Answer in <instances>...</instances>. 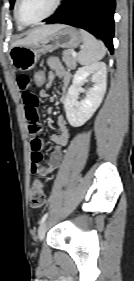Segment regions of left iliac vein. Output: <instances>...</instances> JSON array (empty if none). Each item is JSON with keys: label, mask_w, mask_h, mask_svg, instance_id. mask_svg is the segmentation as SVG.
Wrapping results in <instances>:
<instances>
[{"label": "left iliac vein", "mask_w": 134, "mask_h": 281, "mask_svg": "<svg viewBox=\"0 0 134 281\" xmlns=\"http://www.w3.org/2000/svg\"><path fill=\"white\" fill-rule=\"evenodd\" d=\"M46 231H47V222L44 221V222L40 225L39 230H38V239H39L40 241L43 240Z\"/></svg>", "instance_id": "left-iliac-vein-1"}]
</instances>
